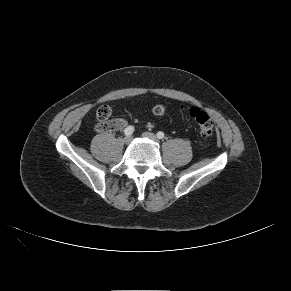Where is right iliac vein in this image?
Segmentation results:
<instances>
[{
  "instance_id": "1",
  "label": "right iliac vein",
  "mask_w": 291,
  "mask_h": 291,
  "mask_svg": "<svg viewBox=\"0 0 291 291\" xmlns=\"http://www.w3.org/2000/svg\"><path fill=\"white\" fill-rule=\"evenodd\" d=\"M131 141H132V137H131V136H126V137L124 138V142H125V144H129Z\"/></svg>"
}]
</instances>
